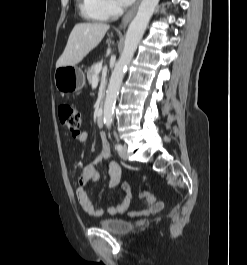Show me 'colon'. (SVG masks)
Masks as SVG:
<instances>
[{"label":"colon","mask_w":247,"mask_h":265,"mask_svg":"<svg viewBox=\"0 0 247 265\" xmlns=\"http://www.w3.org/2000/svg\"><path fill=\"white\" fill-rule=\"evenodd\" d=\"M59 120L63 126L74 136L80 137L82 135L81 124L82 117L80 112L69 103H62L58 108ZM124 188L127 189V185H124ZM140 196L146 200L148 204L155 203V196L150 192H142Z\"/></svg>","instance_id":"1"}]
</instances>
